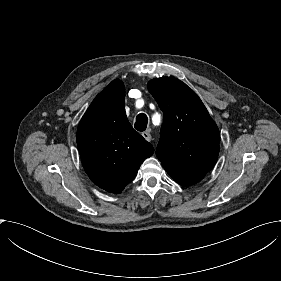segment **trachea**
Returning a JSON list of instances; mask_svg holds the SVG:
<instances>
[{"label": "trachea", "instance_id": "obj_1", "mask_svg": "<svg viewBox=\"0 0 281 281\" xmlns=\"http://www.w3.org/2000/svg\"><path fill=\"white\" fill-rule=\"evenodd\" d=\"M148 124V117L144 113H140L136 117L135 129L137 131H144Z\"/></svg>", "mask_w": 281, "mask_h": 281}]
</instances>
